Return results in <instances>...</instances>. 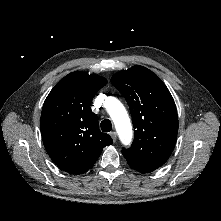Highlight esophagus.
<instances>
[{
  "instance_id": "1",
  "label": "esophagus",
  "mask_w": 221,
  "mask_h": 221,
  "mask_svg": "<svg viewBox=\"0 0 221 221\" xmlns=\"http://www.w3.org/2000/svg\"><path fill=\"white\" fill-rule=\"evenodd\" d=\"M110 136L112 137L113 141L116 142V140H117V133L113 131V132L110 133Z\"/></svg>"
}]
</instances>
